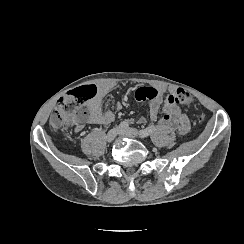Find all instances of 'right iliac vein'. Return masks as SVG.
<instances>
[{"instance_id":"63e3f726","label":"right iliac vein","mask_w":244,"mask_h":244,"mask_svg":"<svg viewBox=\"0 0 244 244\" xmlns=\"http://www.w3.org/2000/svg\"><path fill=\"white\" fill-rule=\"evenodd\" d=\"M120 129L118 127H115L113 129H111L108 134L106 135V141L107 142H112L116 137L117 135L120 133Z\"/></svg>"}]
</instances>
